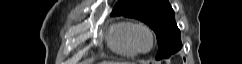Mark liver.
<instances>
[{"mask_svg": "<svg viewBox=\"0 0 242 64\" xmlns=\"http://www.w3.org/2000/svg\"><path fill=\"white\" fill-rule=\"evenodd\" d=\"M102 64H122V63H116V62H104Z\"/></svg>", "mask_w": 242, "mask_h": 64, "instance_id": "liver-1", "label": "liver"}]
</instances>
